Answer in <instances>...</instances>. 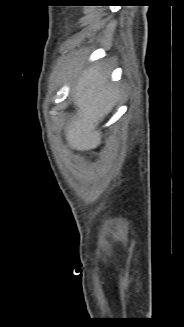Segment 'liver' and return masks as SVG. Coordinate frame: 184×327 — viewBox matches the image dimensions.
Segmentation results:
<instances>
[{"label": "liver", "instance_id": "6515ba94", "mask_svg": "<svg viewBox=\"0 0 184 327\" xmlns=\"http://www.w3.org/2000/svg\"><path fill=\"white\" fill-rule=\"evenodd\" d=\"M74 89L77 112L65 129V137L72 149L87 151L101 143L97 126L111 112L119 95L98 66L80 69Z\"/></svg>", "mask_w": 184, "mask_h": 327}]
</instances>
